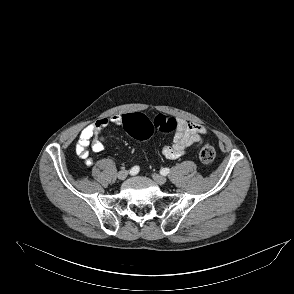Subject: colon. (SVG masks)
Segmentation results:
<instances>
[{"instance_id":"5ec220e1","label":"colon","mask_w":294,"mask_h":294,"mask_svg":"<svg viewBox=\"0 0 294 294\" xmlns=\"http://www.w3.org/2000/svg\"><path fill=\"white\" fill-rule=\"evenodd\" d=\"M123 127L125 131L137 140L149 139L155 130L168 133L176 129V119L171 116L158 115L153 121L141 113L123 115ZM216 156L215 148L205 143L200 148L198 157L203 164L213 162Z\"/></svg>"}]
</instances>
